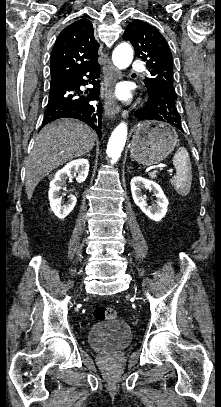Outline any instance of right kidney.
Wrapping results in <instances>:
<instances>
[{"mask_svg": "<svg viewBox=\"0 0 221 407\" xmlns=\"http://www.w3.org/2000/svg\"><path fill=\"white\" fill-rule=\"evenodd\" d=\"M89 172V162L87 159H76L67 163L62 169L58 170L50 182L48 192L50 207L52 212L59 218L64 219L73 210L76 205V197L70 196L67 203L63 204L60 197V190L67 178L72 177V173L77 174L76 180L82 183L86 180Z\"/></svg>", "mask_w": 221, "mask_h": 407, "instance_id": "obj_1", "label": "right kidney"}]
</instances>
